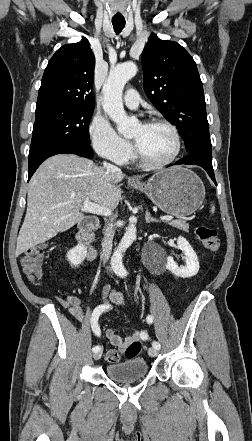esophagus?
Listing matches in <instances>:
<instances>
[{
	"label": "esophagus",
	"instance_id": "34e87169",
	"mask_svg": "<svg viewBox=\"0 0 252 441\" xmlns=\"http://www.w3.org/2000/svg\"><path fill=\"white\" fill-rule=\"evenodd\" d=\"M130 181H131V182H138V181H139V179H138V178H136V177H132V178H130Z\"/></svg>",
	"mask_w": 252,
	"mask_h": 441
}]
</instances>
